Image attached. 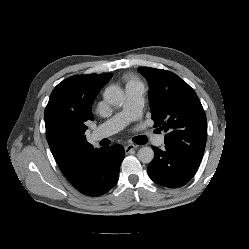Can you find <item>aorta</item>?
<instances>
[{"mask_svg": "<svg viewBox=\"0 0 249 249\" xmlns=\"http://www.w3.org/2000/svg\"><path fill=\"white\" fill-rule=\"evenodd\" d=\"M104 100L111 105H119L124 100V91L118 86H109L105 89ZM138 159L142 163H150L154 158V151L151 147L144 146L138 150Z\"/></svg>", "mask_w": 249, "mask_h": 249, "instance_id": "1", "label": "aorta"}]
</instances>
